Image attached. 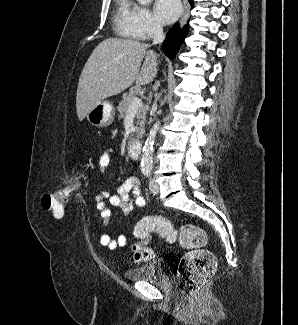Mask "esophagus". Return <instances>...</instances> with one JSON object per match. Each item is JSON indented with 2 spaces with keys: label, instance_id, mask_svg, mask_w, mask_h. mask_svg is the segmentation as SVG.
<instances>
[{
  "label": "esophagus",
  "instance_id": "esophagus-1",
  "mask_svg": "<svg viewBox=\"0 0 298 325\" xmlns=\"http://www.w3.org/2000/svg\"><path fill=\"white\" fill-rule=\"evenodd\" d=\"M189 18V6L185 7V10L183 12V14L181 15L180 19H179V26L183 27V25H185V23L187 22Z\"/></svg>",
  "mask_w": 298,
  "mask_h": 325
}]
</instances>
